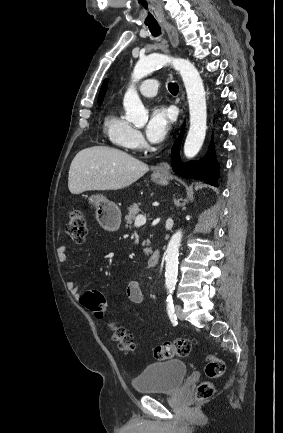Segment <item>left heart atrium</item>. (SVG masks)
<instances>
[{"instance_id":"left-heart-atrium-1","label":"left heart atrium","mask_w":283,"mask_h":433,"mask_svg":"<svg viewBox=\"0 0 283 433\" xmlns=\"http://www.w3.org/2000/svg\"><path fill=\"white\" fill-rule=\"evenodd\" d=\"M171 125L170 112L161 105L152 108L149 122L146 127V137L151 144L161 143L167 136Z\"/></svg>"}]
</instances>
